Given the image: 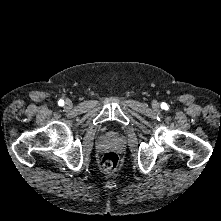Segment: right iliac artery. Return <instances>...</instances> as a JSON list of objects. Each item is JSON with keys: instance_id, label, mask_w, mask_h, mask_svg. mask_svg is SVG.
<instances>
[{"instance_id": "right-iliac-artery-1", "label": "right iliac artery", "mask_w": 221, "mask_h": 221, "mask_svg": "<svg viewBox=\"0 0 221 221\" xmlns=\"http://www.w3.org/2000/svg\"><path fill=\"white\" fill-rule=\"evenodd\" d=\"M58 105H59V106H63V105H64V100H59V101H58Z\"/></svg>"}]
</instances>
